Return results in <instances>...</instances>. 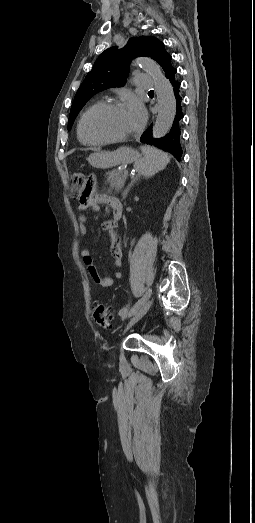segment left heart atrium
Segmentation results:
<instances>
[{"label": "left heart atrium", "instance_id": "39dd6f15", "mask_svg": "<svg viewBox=\"0 0 255 523\" xmlns=\"http://www.w3.org/2000/svg\"><path fill=\"white\" fill-rule=\"evenodd\" d=\"M129 106L133 110V113H134V116L136 119L137 128L141 127L146 120V110H145L143 104L136 99H132L129 102Z\"/></svg>", "mask_w": 255, "mask_h": 523}]
</instances>
